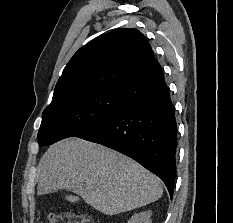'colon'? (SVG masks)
Instances as JSON below:
<instances>
[{"label": "colon", "mask_w": 233, "mask_h": 223, "mask_svg": "<svg viewBox=\"0 0 233 223\" xmlns=\"http://www.w3.org/2000/svg\"><path fill=\"white\" fill-rule=\"evenodd\" d=\"M47 223H93V221L83 214L65 212L61 215L50 213Z\"/></svg>", "instance_id": "obj_1"}]
</instances>
